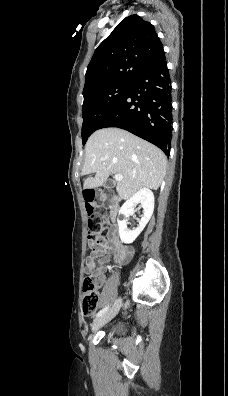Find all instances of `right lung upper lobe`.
I'll return each mask as SVG.
<instances>
[{
  "label": "right lung upper lobe",
  "mask_w": 228,
  "mask_h": 396,
  "mask_svg": "<svg viewBox=\"0 0 228 396\" xmlns=\"http://www.w3.org/2000/svg\"><path fill=\"white\" fill-rule=\"evenodd\" d=\"M162 47L151 23L138 15L126 17L95 50L83 94L113 83L132 82Z\"/></svg>",
  "instance_id": "1"
}]
</instances>
